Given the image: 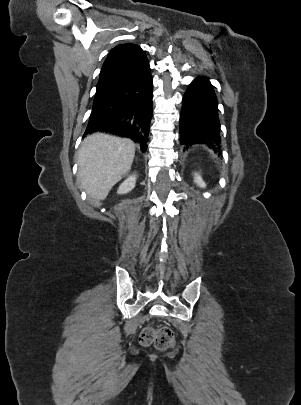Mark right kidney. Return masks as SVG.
Instances as JSON below:
<instances>
[{"label": "right kidney", "instance_id": "ca27d5eb", "mask_svg": "<svg viewBox=\"0 0 301 405\" xmlns=\"http://www.w3.org/2000/svg\"><path fill=\"white\" fill-rule=\"evenodd\" d=\"M136 176L131 175L129 176L118 188V194H126L129 193L132 189H134L136 185Z\"/></svg>", "mask_w": 301, "mask_h": 405}]
</instances>
